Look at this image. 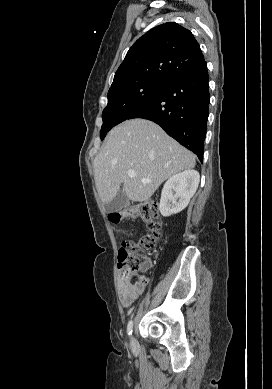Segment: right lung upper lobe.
Segmentation results:
<instances>
[{"label": "right lung upper lobe", "mask_w": 272, "mask_h": 389, "mask_svg": "<svg viewBox=\"0 0 272 389\" xmlns=\"http://www.w3.org/2000/svg\"><path fill=\"white\" fill-rule=\"evenodd\" d=\"M203 61L193 34L168 22L152 28L132 45L109 90L142 80L167 83Z\"/></svg>", "instance_id": "1"}]
</instances>
